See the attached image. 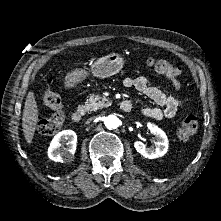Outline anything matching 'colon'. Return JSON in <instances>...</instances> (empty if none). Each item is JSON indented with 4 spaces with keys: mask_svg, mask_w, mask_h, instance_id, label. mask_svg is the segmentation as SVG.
Segmentation results:
<instances>
[{
    "mask_svg": "<svg viewBox=\"0 0 221 221\" xmlns=\"http://www.w3.org/2000/svg\"><path fill=\"white\" fill-rule=\"evenodd\" d=\"M149 64L154 71L169 80H174L179 77L180 68L172 60L152 59ZM43 101L47 107L53 110V112L38 122V131L43 135L56 134L61 129L66 116L62 109L60 96L51 85H47L44 89ZM197 128L198 121L196 117L188 116L177 129L176 134L178 139L182 141L188 140L196 133Z\"/></svg>",
    "mask_w": 221,
    "mask_h": 221,
    "instance_id": "5ec220e1",
    "label": "colon"
}]
</instances>
